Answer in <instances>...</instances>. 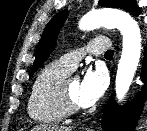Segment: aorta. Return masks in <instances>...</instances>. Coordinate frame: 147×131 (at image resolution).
<instances>
[{
	"instance_id": "obj_1",
	"label": "aorta",
	"mask_w": 147,
	"mask_h": 131,
	"mask_svg": "<svg viewBox=\"0 0 147 131\" xmlns=\"http://www.w3.org/2000/svg\"><path fill=\"white\" fill-rule=\"evenodd\" d=\"M100 26L117 28L123 36L122 54L115 82L116 97L121 101L130 88L140 60V29L128 13L115 9H102L88 13L79 22L82 30H92Z\"/></svg>"
}]
</instances>
